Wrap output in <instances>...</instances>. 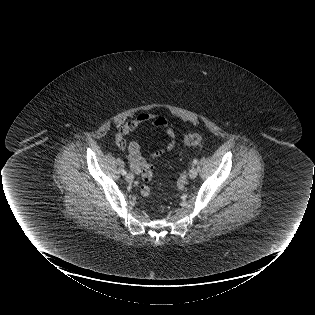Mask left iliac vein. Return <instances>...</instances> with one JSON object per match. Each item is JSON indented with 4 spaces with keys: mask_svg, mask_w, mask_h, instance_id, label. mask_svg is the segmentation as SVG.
I'll return each instance as SVG.
<instances>
[{
    "mask_svg": "<svg viewBox=\"0 0 315 315\" xmlns=\"http://www.w3.org/2000/svg\"><path fill=\"white\" fill-rule=\"evenodd\" d=\"M197 174H198V169L193 166L191 170L189 171L190 178H195Z\"/></svg>",
    "mask_w": 315,
    "mask_h": 315,
    "instance_id": "obj_1",
    "label": "left iliac vein"
}]
</instances>
